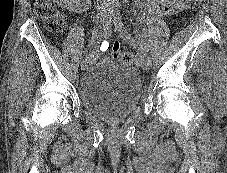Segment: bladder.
Masks as SVG:
<instances>
[{"label":"bladder","instance_id":"31cf9c89","mask_svg":"<svg viewBox=\"0 0 227 173\" xmlns=\"http://www.w3.org/2000/svg\"><path fill=\"white\" fill-rule=\"evenodd\" d=\"M78 97L85 111L106 122H119L139 107L143 86L140 74L121 61H104L81 77Z\"/></svg>","mask_w":227,"mask_h":173}]
</instances>
